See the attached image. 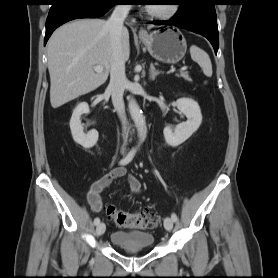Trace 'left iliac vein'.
Masks as SVG:
<instances>
[{"instance_id":"4c4485c4","label":"left iliac vein","mask_w":278,"mask_h":278,"mask_svg":"<svg viewBox=\"0 0 278 278\" xmlns=\"http://www.w3.org/2000/svg\"><path fill=\"white\" fill-rule=\"evenodd\" d=\"M164 227L167 231H171L173 228V220L170 217H166L164 220Z\"/></svg>"}]
</instances>
